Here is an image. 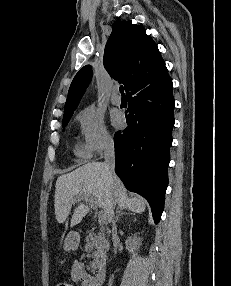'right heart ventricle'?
Returning <instances> with one entry per match:
<instances>
[{"mask_svg": "<svg viewBox=\"0 0 231 286\" xmlns=\"http://www.w3.org/2000/svg\"><path fill=\"white\" fill-rule=\"evenodd\" d=\"M74 154L80 159H87L90 154L82 145H76L74 148Z\"/></svg>", "mask_w": 231, "mask_h": 286, "instance_id": "e07e8e85", "label": "right heart ventricle"}]
</instances>
